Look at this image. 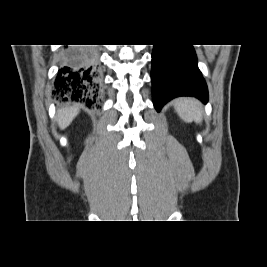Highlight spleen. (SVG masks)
Instances as JSON below:
<instances>
[{
    "instance_id": "1",
    "label": "spleen",
    "mask_w": 267,
    "mask_h": 267,
    "mask_svg": "<svg viewBox=\"0 0 267 267\" xmlns=\"http://www.w3.org/2000/svg\"><path fill=\"white\" fill-rule=\"evenodd\" d=\"M174 107L180 118L185 122H202V109L197 100L181 98L174 102Z\"/></svg>"
}]
</instances>
